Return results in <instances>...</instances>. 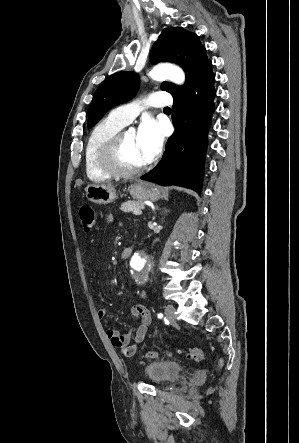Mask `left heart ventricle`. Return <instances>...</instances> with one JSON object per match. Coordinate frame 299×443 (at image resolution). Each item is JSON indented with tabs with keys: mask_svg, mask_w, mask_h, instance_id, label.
Wrapping results in <instances>:
<instances>
[{
	"mask_svg": "<svg viewBox=\"0 0 299 443\" xmlns=\"http://www.w3.org/2000/svg\"><path fill=\"white\" fill-rule=\"evenodd\" d=\"M121 163L128 168H136L145 164L137 141V133L127 132L123 141Z\"/></svg>",
	"mask_w": 299,
	"mask_h": 443,
	"instance_id": "1",
	"label": "left heart ventricle"
}]
</instances>
